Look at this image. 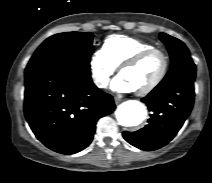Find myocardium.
I'll use <instances>...</instances> for the list:
<instances>
[{
	"mask_svg": "<svg viewBox=\"0 0 212 183\" xmlns=\"http://www.w3.org/2000/svg\"><path fill=\"white\" fill-rule=\"evenodd\" d=\"M152 54H160L163 60L162 68L158 76L155 78V80L147 85L146 87L142 89L135 90V93L137 95H146L151 93L153 90H155L164 80V78L167 75L168 69H169V56L168 54L161 48H150L147 50H144L134 57L130 58L126 62H124L119 69V74H121L123 71L130 69L132 67L137 66L139 63H141L143 60L151 56Z\"/></svg>",
	"mask_w": 212,
	"mask_h": 183,
	"instance_id": "1",
	"label": "myocardium"
}]
</instances>
